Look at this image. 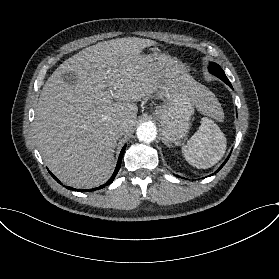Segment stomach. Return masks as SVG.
<instances>
[{
    "mask_svg": "<svg viewBox=\"0 0 279 279\" xmlns=\"http://www.w3.org/2000/svg\"><path fill=\"white\" fill-rule=\"evenodd\" d=\"M160 68H168L180 76L188 74L182 62L170 58L166 54L151 56ZM184 79H171V88L165 92L163 105L156 107L152 115L156 117L162 127L161 139L168 146L185 137L189 131L191 115L194 112V101L183 89Z\"/></svg>",
    "mask_w": 279,
    "mask_h": 279,
    "instance_id": "obj_1",
    "label": "stomach"
}]
</instances>
